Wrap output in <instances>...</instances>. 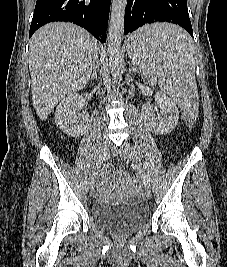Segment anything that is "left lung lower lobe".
Masks as SVG:
<instances>
[{
    "label": "left lung lower lobe",
    "mask_w": 227,
    "mask_h": 267,
    "mask_svg": "<svg viewBox=\"0 0 227 267\" xmlns=\"http://www.w3.org/2000/svg\"><path fill=\"white\" fill-rule=\"evenodd\" d=\"M171 22L178 24L193 36L187 0H127L124 18V34H128L148 23ZM141 45L142 40H136ZM178 40H163L160 45L175 47Z\"/></svg>",
    "instance_id": "left-lung-lower-lobe-1"
}]
</instances>
